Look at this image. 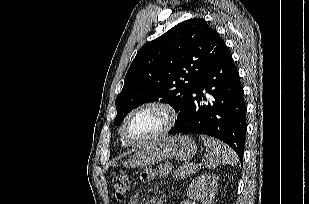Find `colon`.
I'll list each match as a JSON object with an SVG mask.
<instances>
[{
	"label": "colon",
	"mask_w": 309,
	"mask_h": 204,
	"mask_svg": "<svg viewBox=\"0 0 309 204\" xmlns=\"http://www.w3.org/2000/svg\"><path fill=\"white\" fill-rule=\"evenodd\" d=\"M112 184L116 197L124 198L130 186V177L121 173L113 178Z\"/></svg>",
	"instance_id": "5ec220e1"
}]
</instances>
